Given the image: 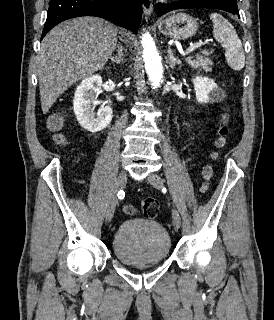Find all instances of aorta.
Here are the masks:
<instances>
[{
    "label": "aorta",
    "mask_w": 274,
    "mask_h": 320,
    "mask_svg": "<svg viewBox=\"0 0 274 320\" xmlns=\"http://www.w3.org/2000/svg\"><path fill=\"white\" fill-rule=\"evenodd\" d=\"M142 46H143V60L145 63V69L150 79L151 85L154 88L160 86L163 78V66L161 57L156 49L155 42L151 35L146 32L142 35Z\"/></svg>",
    "instance_id": "1"
}]
</instances>
